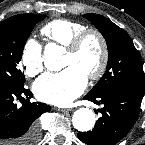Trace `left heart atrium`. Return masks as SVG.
Masks as SVG:
<instances>
[{
    "label": "left heart atrium",
    "mask_w": 145,
    "mask_h": 145,
    "mask_svg": "<svg viewBox=\"0 0 145 145\" xmlns=\"http://www.w3.org/2000/svg\"><path fill=\"white\" fill-rule=\"evenodd\" d=\"M87 76L77 66H69L61 72L46 74L33 85L36 97L46 103L65 106L85 89Z\"/></svg>",
    "instance_id": "left-heart-atrium-1"
}]
</instances>
